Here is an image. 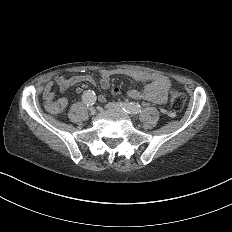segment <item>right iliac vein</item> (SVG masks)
I'll return each mask as SVG.
<instances>
[{
  "instance_id": "63e3f726",
  "label": "right iliac vein",
  "mask_w": 232,
  "mask_h": 232,
  "mask_svg": "<svg viewBox=\"0 0 232 232\" xmlns=\"http://www.w3.org/2000/svg\"><path fill=\"white\" fill-rule=\"evenodd\" d=\"M97 113V108L96 107H91L90 108V114L91 115H94V114H96Z\"/></svg>"
}]
</instances>
